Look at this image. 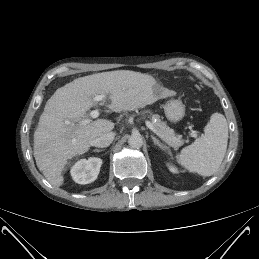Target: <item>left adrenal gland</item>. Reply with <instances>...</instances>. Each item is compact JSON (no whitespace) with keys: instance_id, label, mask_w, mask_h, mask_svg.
<instances>
[{"instance_id":"obj_1","label":"left adrenal gland","mask_w":259,"mask_h":259,"mask_svg":"<svg viewBox=\"0 0 259 259\" xmlns=\"http://www.w3.org/2000/svg\"><path fill=\"white\" fill-rule=\"evenodd\" d=\"M151 138H152V140H153V142H154V144H155L156 146H158L162 151H166L167 147H165L163 144H161V143L159 142V140H158L156 137H154V136L152 135Z\"/></svg>"}]
</instances>
